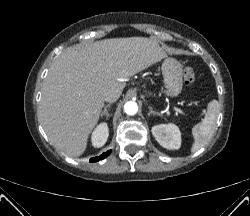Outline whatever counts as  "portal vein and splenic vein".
<instances>
[{
	"label": "portal vein and splenic vein",
	"mask_w": 250,
	"mask_h": 216,
	"mask_svg": "<svg viewBox=\"0 0 250 216\" xmlns=\"http://www.w3.org/2000/svg\"><path fill=\"white\" fill-rule=\"evenodd\" d=\"M177 112L182 113L180 110L176 109Z\"/></svg>",
	"instance_id": "portal-vein-and-splenic-vein-1"
}]
</instances>
